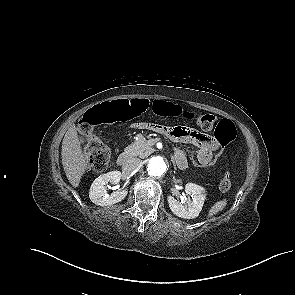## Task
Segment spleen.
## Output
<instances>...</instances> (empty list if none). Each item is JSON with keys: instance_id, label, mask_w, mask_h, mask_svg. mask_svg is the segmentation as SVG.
Listing matches in <instances>:
<instances>
[{"instance_id": "3e777b00", "label": "spleen", "mask_w": 295, "mask_h": 295, "mask_svg": "<svg viewBox=\"0 0 295 295\" xmlns=\"http://www.w3.org/2000/svg\"><path fill=\"white\" fill-rule=\"evenodd\" d=\"M226 205H227L226 200H221V201L216 202L209 210L208 217H212V216L216 215L219 211L223 210Z\"/></svg>"}]
</instances>
